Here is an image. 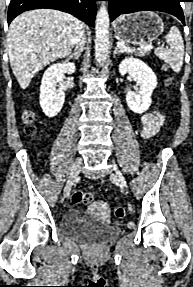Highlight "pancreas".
<instances>
[{
  "label": "pancreas",
  "instance_id": "1",
  "mask_svg": "<svg viewBox=\"0 0 193 287\" xmlns=\"http://www.w3.org/2000/svg\"><path fill=\"white\" fill-rule=\"evenodd\" d=\"M121 42L124 43L128 49H131L127 42H125V41H121ZM126 51L131 52L132 54H134L138 57H143V56L149 54V52H150V50H148V49H140V48H137V49L133 48V49H131V51H128V50H126Z\"/></svg>",
  "mask_w": 193,
  "mask_h": 287
}]
</instances>
